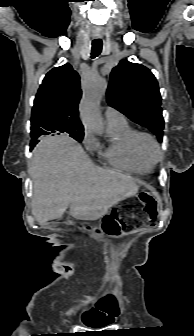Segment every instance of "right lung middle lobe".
<instances>
[{"label": "right lung middle lobe", "mask_w": 194, "mask_h": 336, "mask_svg": "<svg viewBox=\"0 0 194 336\" xmlns=\"http://www.w3.org/2000/svg\"><path fill=\"white\" fill-rule=\"evenodd\" d=\"M68 134L77 141H81L83 139V136H84L83 132H71V133H68Z\"/></svg>", "instance_id": "obj_1"}]
</instances>
